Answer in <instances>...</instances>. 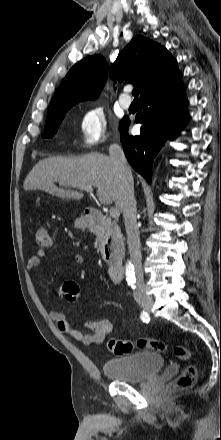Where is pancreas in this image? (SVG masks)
Instances as JSON below:
<instances>
[{
	"instance_id": "obj_1",
	"label": "pancreas",
	"mask_w": 221,
	"mask_h": 440,
	"mask_svg": "<svg viewBox=\"0 0 221 440\" xmlns=\"http://www.w3.org/2000/svg\"><path fill=\"white\" fill-rule=\"evenodd\" d=\"M110 237L113 238L114 241L113 249L117 259L121 260L124 255L123 236L118 225L108 218L104 226L96 231V240L100 243L99 250L103 249Z\"/></svg>"
}]
</instances>
